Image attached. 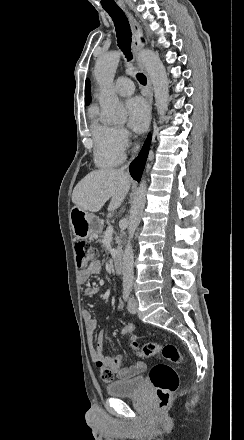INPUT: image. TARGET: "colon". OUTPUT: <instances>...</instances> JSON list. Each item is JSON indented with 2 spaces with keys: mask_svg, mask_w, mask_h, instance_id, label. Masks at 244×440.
Masks as SVG:
<instances>
[{
  "mask_svg": "<svg viewBox=\"0 0 244 440\" xmlns=\"http://www.w3.org/2000/svg\"><path fill=\"white\" fill-rule=\"evenodd\" d=\"M97 257V250L94 247H89L83 240H79L75 244V261L78 269H84L88 262H91ZM133 324H128L125 327L124 334L128 335L132 331ZM131 348L134 350L135 356L139 359L151 357L154 355L162 356L167 361L173 363H180L183 360L181 351L176 345L164 343H146L142 346L135 341H131ZM97 366L101 369L102 377L107 382H112L114 376L111 372L104 368L101 361L97 362ZM151 381L155 387L156 396L158 399V409L166 410L167 404L170 402L174 390L179 385L177 374L166 364L152 365L151 367Z\"/></svg>",
  "mask_w": 244,
  "mask_h": 440,
  "instance_id": "colon-1",
  "label": "colon"
}]
</instances>
